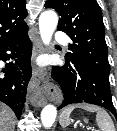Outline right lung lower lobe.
Here are the masks:
<instances>
[{
    "label": "right lung lower lobe",
    "mask_w": 117,
    "mask_h": 131,
    "mask_svg": "<svg viewBox=\"0 0 117 131\" xmlns=\"http://www.w3.org/2000/svg\"><path fill=\"white\" fill-rule=\"evenodd\" d=\"M31 42L27 32L0 44V101L7 104L20 118L25 102L28 82L31 78Z\"/></svg>",
    "instance_id": "1"
}]
</instances>
